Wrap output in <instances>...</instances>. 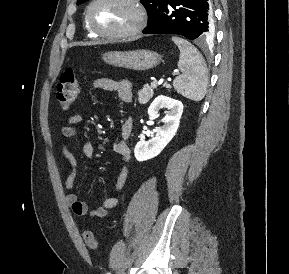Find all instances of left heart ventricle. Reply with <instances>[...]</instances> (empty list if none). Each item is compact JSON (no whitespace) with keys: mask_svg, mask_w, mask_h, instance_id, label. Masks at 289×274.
Wrapping results in <instances>:
<instances>
[{"mask_svg":"<svg viewBox=\"0 0 289 274\" xmlns=\"http://www.w3.org/2000/svg\"><path fill=\"white\" fill-rule=\"evenodd\" d=\"M91 20L99 30L116 32L134 23L135 12L132 6L123 0H101L92 8Z\"/></svg>","mask_w":289,"mask_h":274,"instance_id":"1","label":"left heart ventricle"}]
</instances>
